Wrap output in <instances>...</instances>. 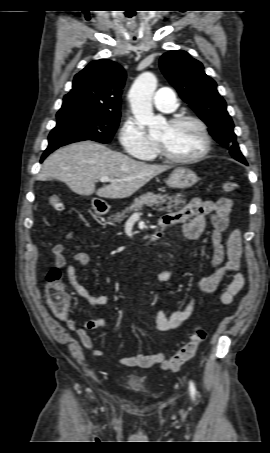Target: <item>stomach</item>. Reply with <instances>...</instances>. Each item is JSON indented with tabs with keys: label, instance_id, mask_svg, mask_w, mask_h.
<instances>
[{
	"label": "stomach",
	"instance_id": "obj_1",
	"mask_svg": "<svg viewBox=\"0 0 270 453\" xmlns=\"http://www.w3.org/2000/svg\"><path fill=\"white\" fill-rule=\"evenodd\" d=\"M198 176L192 170L185 167L176 168L166 180V184L170 188L187 189L196 184ZM97 214H102L101 209L94 206Z\"/></svg>",
	"mask_w": 270,
	"mask_h": 453
}]
</instances>
